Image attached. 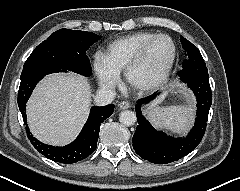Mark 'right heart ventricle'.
<instances>
[{"mask_svg":"<svg viewBox=\"0 0 240 191\" xmlns=\"http://www.w3.org/2000/svg\"><path fill=\"white\" fill-rule=\"evenodd\" d=\"M152 32H138L111 42L107 47V57L113 67L120 73L136 57L143 45L156 36Z\"/></svg>","mask_w":240,"mask_h":191,"instance_id":"e07e8e85","label":"right heart ventricle"}]
</instances>
